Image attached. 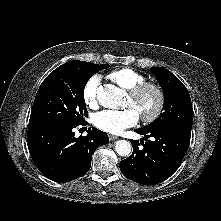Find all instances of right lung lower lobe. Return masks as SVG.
<instances>
[{"label":"right lung lower lobe","instance_id":"1","mask_svg":"<svg viewBox=\"0 0 221 221\" xmlns=\"http://www.w3.org/2000/svg\"><path fill=\"white\" fill-rule=\"evenodd\" d=\"M77 126L28 129L30 155L47 178L67 182L83 176L90 169L94 151L109 142L108 135L96 128H89L87 136L76 138L73 129Z\"/></svg>","mask_w":221,"mask_h":221}]
</instances>
